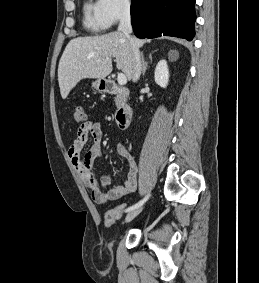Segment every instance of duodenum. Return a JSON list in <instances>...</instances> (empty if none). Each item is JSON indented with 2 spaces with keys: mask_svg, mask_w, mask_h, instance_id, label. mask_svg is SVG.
I'll return each instance as SVG.
<instances>
[{
  "mask_svg": "<svg viewBox=\"0 0 259 283\" xmlns=\"http://www.w3.org/2000/svg\"><path fill=\"white\" fill-rule=\"evenodd\" d=\"M104 91L109 94H119L121 96H126L128 94V90L126 88L117 85L113 81H106ZM132 115L133 112L129 105L124 104L120 106L116 113L118 126L123 130L127 129L131 122Z\"/></svg>",
  "mask_w": 259,
  "mask_h": 283,
  "instance_id": "410a0bca",
  "label": "duodenum"
}]
</instances>
